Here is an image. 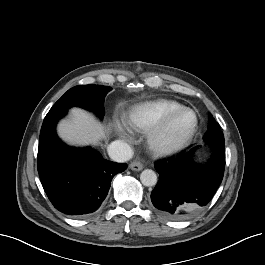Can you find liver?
Returning <instances> with one entry per match:
<instances>
[{
    "mask_svg": "<svg viewBox=\"0 0 265 265\" xmlns=\"http://www.w3.org/2000/svg\"><path fill=\"white\" fill-rule=\"evenodd\" d=\"M108 130L79 108H73L70 119L62 120L57 128L60 138L72 145H96L106 137Z\"/></svg>",
    "mask_w": 265,
    "mask_h": 265,
    "instance_id": "6515ba94",
    "label": "liver"
}]
</instances>
